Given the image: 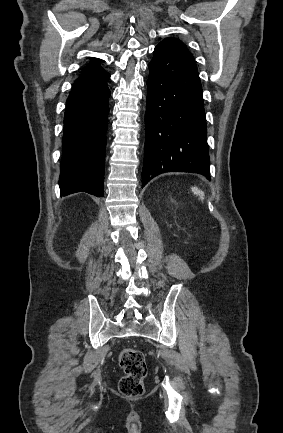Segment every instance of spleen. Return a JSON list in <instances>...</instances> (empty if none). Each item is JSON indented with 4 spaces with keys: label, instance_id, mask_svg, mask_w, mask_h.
Listing matches in <instances>:
<instances>
[{
    "label": "spleen",
    "instance_id": "3e777b00",
    "mask_svg": "<svg viewBox=\"0 0 283 433\" xmlns=\"http://www.w3.org/2000/svg\"><path fill=\"white\" fill-rule=\"evenodd\" d=\"M191 190H192L193 194H197V196H200L201 200H203V198L205 196L203 190H200V188H198V186H191Z\"/></svg>",
    "mask_w": 283,
    "mask_h": 433
}]
</instances>
